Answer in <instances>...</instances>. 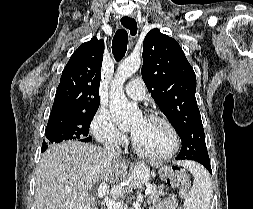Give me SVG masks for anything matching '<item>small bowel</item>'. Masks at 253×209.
<instances>
[{
  "label": "small bowel",
  "mask_w": 253,
  "mask_h": 209,
  "mask_svg": "<svg viewBox=\"0 0 253 209\" xmlns=\"http://www.w3.org/2000/svg\"><path fill=\"white\" fill-rule=\"evenodd\" d=\"M177 199L173 194L167 196L162 202H160L154 209H177Z\"/></svg>",
  "instance_id": "obj_1"
}]
</instances>
